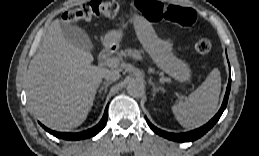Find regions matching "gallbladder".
Returning a JSON list of instances; mask_svg holds the SVG:
<instances>
[{
    "mask_svg": "<svg viewBox=\"0 0 259 156\" xmlns=\"http://www.w3.org/2000/svg\"><path fill=\"white\" fill-rule=\"evenodd\" d=\"M60 27L63 36L69 43L84 50H91L93 48L91 39L82 28L67 22H62Z\"/></svg>",
    "mask_w": 259,
    "mask_h": 156,
    "instance_id": "bac80fb5",
    "label": "gallbladder"
}]
</instances>
